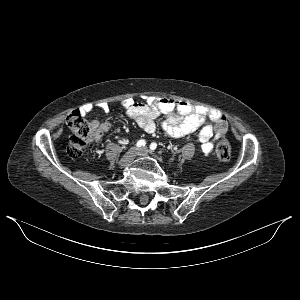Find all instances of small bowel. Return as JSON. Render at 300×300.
Wrapping results in <instances>:
<instances>
[{"instance_id": "c3829d8e", "label": "small bowel", "mask_w": 300, "mask_h": 300, "mask_svg": "<svg viewBox=\"0 0 300 300\" xmlns=\"http://www.w3.org/2000/svg\"><path fill=\"white\" fill-rule=\"evenodd\" d=\"M121 106L126 109L127 117L146 133L157 130L156 119L160 115L165 117L159 126L170 137H182L198 131V139L204 153H210L214 142L226 131L217 132L206 122L207 118L218 116L219 113L205 105H193L170 97L147 96L142 102H136L131 98L124 99L121 101ZM98 107L105 113L110 111L108 103H100ZM92 109L93 105L87 103L83 105L82 113L87 114ZM91 127L94 139L99 141L109 130L110 123L92 119Z\"/></svg>"}]
</instances>
